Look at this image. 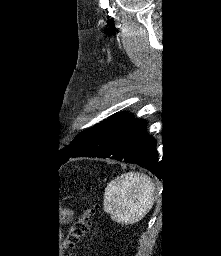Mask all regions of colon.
<instances>
[{"mask_svg":"<svg viewBox=\"0 0 221 256\" xmlns=\"http://www.w3.org/2000/svg\"><path fill=\"white\" fill-rule=\"evenodd\" d=\"M95 212V207H90L86 209L80 219L75 223L73 226L69 236L67 237V244L68 246H74L81 237L86 235V233L90 229L91 225V218ZM66 256H72L71 253H67Z\"/></svg>","mask_w":221,"mask_h":256,"instance_id":"1","label":"colon"}]
</instances>
